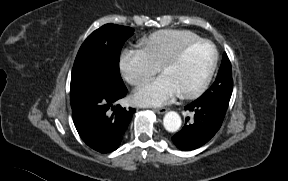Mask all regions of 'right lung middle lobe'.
I'll return each mask as SVG.
<instances>
[{
  "instance_id": "dd1d6c3e",
  "label": "right lung middle lobe",
  "mask_w": 288,
  "mask_h": 181,
  "mask_svg": "<svg viewBox=\"0 0 288 181\" xmlns=\"http://www.w3.org/2000/svg\"><path fill=\"white\" fill-rule=\"evenodd\" d=\"M131 27L106 24L92 32L76 56L70 86L71 107L81 98L83 82L92 73L103 74L113 85H123L119 70L120 51L133 34Z\"/></svg>"
}]
</instances>
